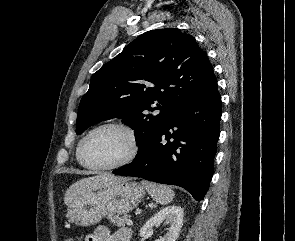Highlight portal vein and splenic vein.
Here are the masks:
<instances>
[{
    "instance_id": "1",
    "label": "portal vein and splenic vein",
    "mask_w": 295,
    "mask_h": 241,
    "mask_svg": "<svg viewBox=\"0 0 295 241\" xmlns=\"http://www.w3.org/2000/svg\"><path fill=\"white\" fill-rule=\"evenodd\" d=\"M126 224L131 226V225H133V222H132V220L128 219V220H126Z\"/></svg>"
}]
</instances>
